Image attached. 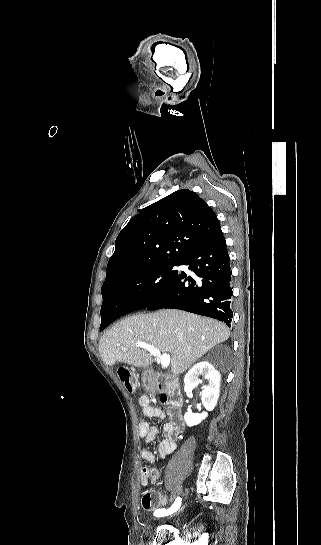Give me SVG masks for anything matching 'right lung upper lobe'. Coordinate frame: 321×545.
<instances>
[{
	"label": "right lung upper lobe",
	"instance_id": "right-lung-upper-lobe-1",
	"mask_svg": "<svg viewBox=\"0 0 321 545\" xmlns=\"http://www.w3.org/2000/svg\"><path fill=\"white\" fill-rule=\"evenodd\" d=\"M215 212L196 193L183 189L147 206L115 241L103 288L132 273L162 264H182L217 229Z\"/></svg>",
	"mask_w": 321,
	"mask_h": 545
}]
</instances>
